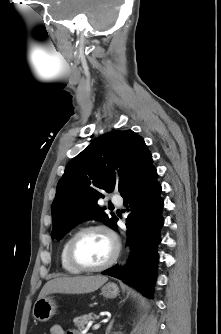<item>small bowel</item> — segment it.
<instances>
[{"mask_svg":"<svg viewBox=\"0 0 221 334\" xmlns=\"http://www.w3.org/2000/svg\"><path fill=\"white\" fill-rule=\"evenodd\" d=\"M49 334H65V331L60 325H53L49 330ZM68 334H74V333L69 332Z\"/></svg>","mask_w":221,"mask_h":334,"instance_id":"1","label":"small bowel"}]
</instances>
